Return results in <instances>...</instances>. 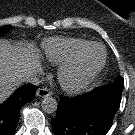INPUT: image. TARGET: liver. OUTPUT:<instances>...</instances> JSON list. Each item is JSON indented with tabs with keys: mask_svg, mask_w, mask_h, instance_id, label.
Listing matches in <instances>:
<instances>
[{
	"mask_svg": "<svg viewBox=\"0 0 135 135\" xmlns=\"http://www.w3.org/2000/svg\"><path fill=\"white\" fill-rule=\"evenodd\" d=\"M39 59L31 44L12 45L0 39V104L25 80L26 71L39 66Z\"/></svg>",
	"mask_w": 135,
	"mask_h": 135,
	"instance_id": "liver-1",
	"label": "liver"
}]
</instances>
